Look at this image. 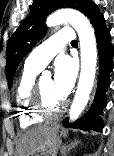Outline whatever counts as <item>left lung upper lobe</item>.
<instances>
[{
    "mask_svg": "<svg viewBox=\"0 0 114 156\" xmlns=\"http://www.w3.org/2000/svg\"><path fill=\"white\" fill-rule=\"evenodd\" d=\"M95 3L91 0H34L28 17L13 33L7 47L6 75L11 88L15 70L23 57L46 33L45 19L48 13L59 8H74L86 16Z\"/></svg>",
    "mask_w": 114,
    "mask_h": 156,
    "instance_id": "left-lung-upper-lobe-1",
    "label": "left lung upper lobe"
}]
</instances>
